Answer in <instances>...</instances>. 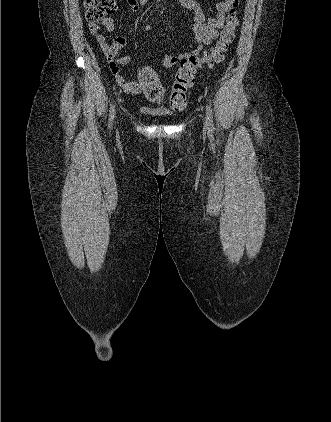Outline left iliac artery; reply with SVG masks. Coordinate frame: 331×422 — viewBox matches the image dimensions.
Segmentation results:
<instances>
[{"label": "left iliac artery", "instance_id": "1", "mask_svg": "<svg viewBox=\"0 0 331 422\" xmlns=\"http://www.w3.org/2000/svg\"><path fill=\"white\" fill-rule=\"evenodd\" d=\"M206 114H207V120L209 123V127L211 130L214 129V123H213V113H212V109L209 105H206Z\"/></svg>", "mask_w": 331, "mask_h": 422}]
</instances>
